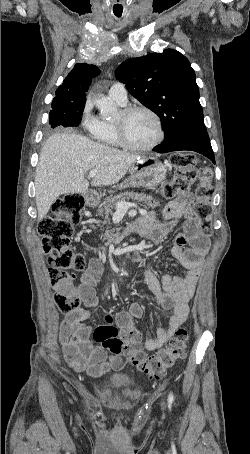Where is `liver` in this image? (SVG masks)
<instances>
[{"label": "liver", "instance_id": "liver-1", "mask_svg": "<svg viewBox=\"0 0 250 454\" xmlns=\"http://www.w3.org/2000/svg\"><path fill=\"white\" fill-rule=\"evenodd\" d=\"M138 155L91 141L75 133H57L44 143L35 173L38 220L48 213L58 196L85 193L89 182L85 174L98 169L92 186L118 183Z\"/></svg>", "mask_w": 250, "mask_h": 454}]
</instances>
